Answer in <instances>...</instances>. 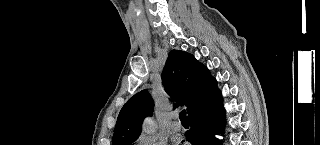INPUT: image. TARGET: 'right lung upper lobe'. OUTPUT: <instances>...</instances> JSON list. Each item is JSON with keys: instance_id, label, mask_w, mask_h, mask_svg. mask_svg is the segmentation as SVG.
<instances>
[{"instance_id": "right-lung-upper-lobe-1", "label": "right lung upper lobe", "mask_w": 320, "mask_h": 145, "mask_svg": "<svg viewBox=\"0 0 320 145\" xmlns=\"http://www.w3.org/2000/svg\"><path fill=\"white\" fill-rule=\"evenodd\" d=\"M214 78L209 70L199 63L193 55L172 50L162 72V84L176 105L187 106V113L200 107L209 92ZM153 112V99L143 90L132 96L121 109L112 145H130L141 133V124Z\"/></svg>"}]
</instances>
